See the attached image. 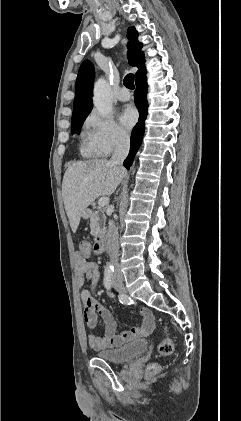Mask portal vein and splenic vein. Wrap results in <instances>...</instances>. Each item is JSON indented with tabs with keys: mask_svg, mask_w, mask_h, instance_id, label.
Masks as SVG:
<instances>
[{
	"mask_svg": "<svg viewBox=\"0 0 241 421\" xmlns=\"http://www.w3.org/2000/svg\"><path fill=\"white\" fill-rule=\"evenodd\" d=\"M109 204V198L108 197H101L98 201L99 207H105Z\"/></svg>",
	"mask_w": 241,
	"mask_h": 421,
	"instance_id": "1",
	"label": "portal vein and splenic vein"
}]
</instances>
